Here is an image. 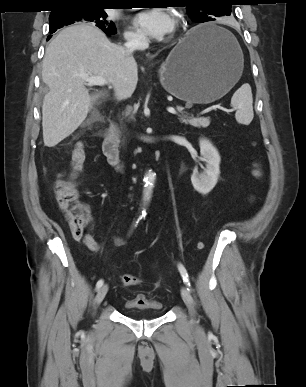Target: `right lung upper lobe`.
<instances>
[{
    "mask_svg": "<svg viewBox=\"0 0 306 387\" xmlns=\"http://www.w3.org/2000/svg\"><path fill=\"white\" fill-rule=\"evenodd\" d=\"M111 0H56L57 8L52 12L58 11L60 8L71 7V6H108ZM51 12V13H52Z\"/></svg>",
    "mask_w": 306,
    "mask_h": 387,
    "instance_id": "1",
    "label": "right lung upper lobe"
}]
</instances>
